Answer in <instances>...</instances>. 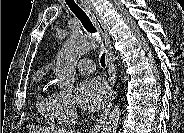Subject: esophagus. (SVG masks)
<instances>
[{
  "mask_svg": "<svg viewBox=\"0 0 184 133\" xmlns=\"http://www.w3.org/2000/svg\"><path fill=\"white\" fill-rule=\"evenodd\" d=\"M79 4L86 10V12L90 15L91 20L97 27L98 31L100 32L104 43L106 47V64L108 67V73H109V82L111 85L110 88V99L107 104V107L103 111V113L100 115L99 119L97 120V123L94 127V131L97 132L100 130V128L103 126L105 123V120L107 118L108 113L110 112L111 106H112V99H113V87L116 81V71L114 67V57H113V52L111 48V42H110V37L107 31V28L105 24L103 23L102 19L100 18L98 12L96 11L95 7L91 3L90 0H81L79 1Z\"/></svg>",
  "mask_w": 184,
  "mask_h": 133,
  "instance_id": "obj_1",
  "label": "esophagus"
}]
</instances>
